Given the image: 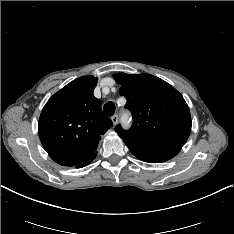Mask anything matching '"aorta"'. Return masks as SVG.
Returning <instances> with one entry per match:
<instances>
[{
    "mask_svg": "<svg viewBox=\"0 0 234 234\" xmlns=\"http://www.w3.org/2000/svg\"><path fill=\"white\" fill-rule=\"evenodd\" d=\"M122 123L125 128L129 126V122L127 120H123Z\"/></svg>",
    "mask_w": 234,
    "mask_h": 234,
    "instance_id": "1",
    "label": "aorta"
}]
</instances>
